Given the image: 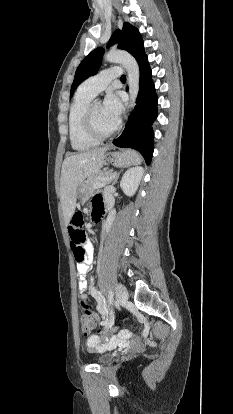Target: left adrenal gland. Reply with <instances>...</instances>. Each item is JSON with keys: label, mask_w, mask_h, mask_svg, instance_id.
Returning <instances> with one entry per match:
<instances>
[{"label": "left adrenal gland", "mask_w": 233, "mask_h": 414, "mask_svg": "<svg viewBox=\"0 0 233 414\" xmlns=\"http://www.w3.org/2000/svg\"><path fill=\"white\" fill-rule=\"evenodd\" d=\"M122 171H119L118 173H116L115 174V176H114V180H113V182H112V185H115L116 183H117V181H118V178H119V176H120V173H121Z\"/></svg>", "instance_id": "left-adrenal-gland-1"}]
</instances>
